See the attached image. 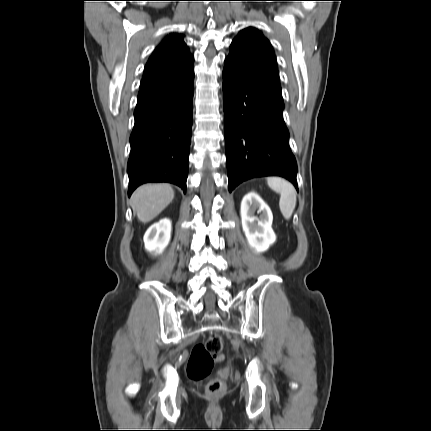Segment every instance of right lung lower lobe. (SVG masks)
Segmentation results:
<instances>
[{
  "instance_id": "right-lung-lower-lobe-1",
  "label": "right lung lower lobe",
  "mask_w": 431,
  "mask_h": 431,
  "mask_svg": "<svg viewBox=\"0 0 431 431\" xmlns=\"http://www.w3.org/2000/svg\"><path fill=\"white\" fill-rule=\"evenodd\" d=\"M194 77L173 92L137 105L130 136L128 195L147 182H169L186 192Z\"/></svg>"
}]
</instances>
